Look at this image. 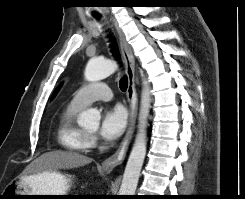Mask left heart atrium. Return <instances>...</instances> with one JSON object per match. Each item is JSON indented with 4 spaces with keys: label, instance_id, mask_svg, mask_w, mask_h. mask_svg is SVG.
<instances>
[{
    "label": "left heart atrium",
    "instance_id": "1",
    "mask_svg": "<svg viewBox=\"0 0 245 199\" xmlns=\"http://www.w3.org/2000/svg\"><path fill=\"white\" fill-rule=\"evenodd\" d=\"M127 114L125 109L116 105L105 110L99 129L100 135L109 141L119 138L125 130Z\"/></svg>",
    "mask_w": 245,
    "mask_h": 199
}]
</instances>
